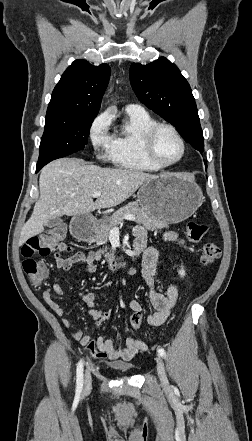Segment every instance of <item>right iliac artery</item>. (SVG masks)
Segmentation results:
<instances>
[{
  "label": "right iliac artery",
  "mask_w": 252,
  "mask_h": 441,
  "mask_svg": "<svg viewBox=\"0 0 252 441\" xmlns=\"http://www.w3.org/2000/svg\"><path fill=\"white\" fill-rule=\"evenodd\" d=\"M76 393L80 394L83 388V361L80 360L76 370Z\"/></svg>",
  "instance_id": "right-iliac-artery-1"
}]
</instances>
